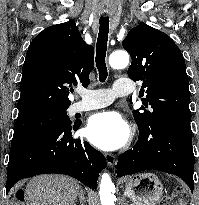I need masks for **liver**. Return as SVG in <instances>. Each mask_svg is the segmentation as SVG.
<instances>
[{"mask_svg": "<svg viewBox=\"0 0 199 205\" xmlns=\"http://www.w3.org/2000/svg\"><path fill=\"white\" fill-rule=\"evenodd\" d=\"M79 184L62 175H40L26 186V205H75Z\"/></svg>", "mask_w": 199, "mask_h": 205, "instance_id": "obj_1", "label": "liver"}]
</instances>
